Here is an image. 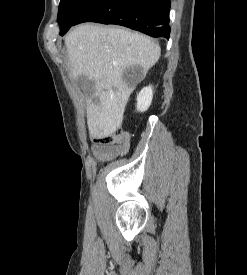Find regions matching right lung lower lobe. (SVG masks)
<instances>
[{
	"label": "right lung lower lobe",
	"instance_id": "obj_1",
	"mask_svg": "<svg viewBox=\"0 0 247 275\" xmlns=\"http://www.w3.org/2000/svg\"><path fill=\"white\" fill-rule=\"evenodd\" d=\"M170 5V0H100L85 10L74 25L82 22L117 24L152 37L169 39Z\"/></svg>",
	"mask_w": 247,
	"mask_h": 275
}]
</instances>
